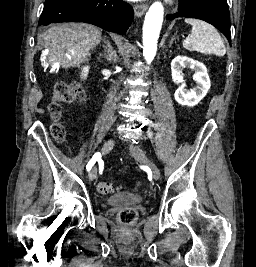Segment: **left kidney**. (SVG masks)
I'll use <instances>...</instances> for the list:
<instances>
[{"mask_svg": "<svg viewBox=\"0 0 256 267\" xmlns=\"http://www.w3.org/2000/svg\"><path fill=\"white\" fill-rule=\"evenodd\" d=\"M183 68H191L195 72L193 80L196 82V88H193V90H185L186 80H184L182 74ZM171 72L174 84L179 86L174 94L178 104H181V106H196L200 100L205 98L211 84L207 68L202 62L192 60L188 56H176L171 62Z\"/></svg>", "mask_w": 256, "mask_h": 267, "instance_id": "obj_1", "label": "left kidney"}]
</instances>
